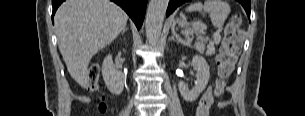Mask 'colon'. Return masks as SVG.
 I'll return each instance as SVG.
<instances>
[{
	"mask_svg": "<svg viewBox=\"0 0 305 116\" xmlns=\"http://www.w3.org/2000/svg\"><path fill=\"white\" fill-rule=\"evenodd\" d=\"M241 23V17L234 15L225 29L224 38L222 41L220 53L217 56V71L218 77L214 86V94L216 97L224 93L227 79L231 76L240 52V41L237 36V30ZM100 67L93 64L88 69L87 84L92 92L99 89ZM98 110L104 112L106 105L101 101L98 105Z\"/></svg>",
	"mask_w": 305,
	"mask_h": 116,
	"instance_id": "obj_1",
	"label": "colon"
}]
</instances>
